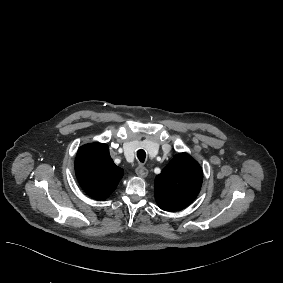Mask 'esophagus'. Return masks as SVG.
I'll list each match as a JSON object with an SVG mask.
<instances>
[{
  "label": "esophagus",
  "mask_w": 283,
  "mask_h": 283,
  "mask_svg": "<svg viewBox=\"0 0 283 283\" xmlns=\"http://www.w3.org/2000/svg\"><path fill=\"white\" fill-rule=\"evenodd\" d=\"M137 176L145 178L148 175V170L144 166H138L135 170Z\"/></svg>",
  "instance_id": "34e87169"
}]
</instances>
